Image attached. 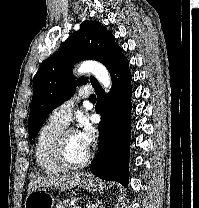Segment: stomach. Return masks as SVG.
Returning <instances> with one entry per match:
<instances>
[{
  "label": "stomach",
  "instance_id": "stomach-1",
  "mask_svg": "<svg viewBox=\"0 0 199 208\" xmlns=\"http://www.w3.org/2000/svg\"><path fill=\"white\" fill-rule=\"evenodd\" d=\"M81 187L86 191L93 192L97 189V184L92 179H83ZM55 199L45 188H39L31 192L25 199V208H53Z\"/></svg>",
  "mask_w": 199,
  "mask_h": 208
}]
</instances>
